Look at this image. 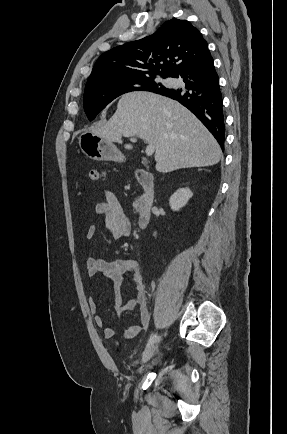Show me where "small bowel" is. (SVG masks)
I'll use <instances>...</instances> for the list:
<instances>
[{"label":"small bowel","mask_w":287,"mask_h":434,"mask_svg":"<svg viewBox=\"0 0 287 434\" xmlns=\"http://www.w3.org/2000/svg\"><path fill=\"white\" fill-rule=\"evenodd\" d=\"M95 215L103 217L106 228L113 239L128 237L131 232V221L127 213L122 208L120 202L114 195L108 193L104 201L95 206ZM96 235L94 226H89L86 232L87 239L91 240ZM85 268L89 279L97 276L108 278L119 288L124 276L130 274L136 285L135 294L123 303L122 296L116 293L113 300V308L116 312L122 313L132 311L136 307L139 309V322L131 324L123 333L125 340L135 338L150 323V312L146 300V291L143 283L142 267L135 258H123L114 261H106L93 256L86 257ZM90 311L95 314L94 320L98 327L103 328L104 337L111 339L115 336L112 327L105 326L103 317L96 315L98 305L93 298L88 301Z\"/></svg>","instance_id":"c3829d8e"}]
</instances>
